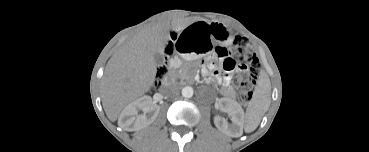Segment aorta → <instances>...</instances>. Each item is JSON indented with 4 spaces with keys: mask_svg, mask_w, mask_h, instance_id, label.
<instances>
[{
    "mask_svg": "<svg viewBox=\"0 0 369 152\" xmlns=\"http://www.w3.org/2000/svg\"><path fill=\"white\" fill-rule=\"evenodd\" d=\"M181 93H182V96H183V97H185V98H190V97H192V96H193V94H194V90H193V88H192V87H190V86H185V87L182 89Z\"/></svg>",
    "mask_w": 369,
    "mask_h": 152,
    "instance_id": "1",
    "label": "aorta"
}]
</instances>
